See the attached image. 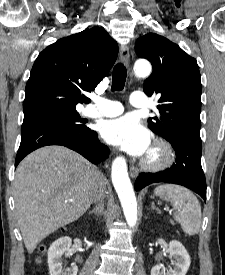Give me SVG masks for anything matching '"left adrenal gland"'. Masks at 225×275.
<instances>
[{
    "label": "left adrenal gland",
    "instance_id": "1",
    "mask_svg": "<svg viewBox=\"0 0 225 275\" xmlns=\"http://www.w3.org/2000/svg\"><path fill=\"white\" fill-rule=\"evenodd\" d=\"M151 208H152V210H156L158 213H160V210L155 206L154 202H152Z\"/></svg>",
    "mask_w": 225,
    "mask_h": 275
}]
</instances>
